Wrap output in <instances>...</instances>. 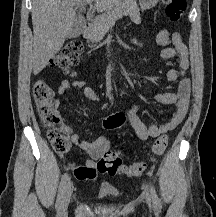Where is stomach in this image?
<instances>
[{"instance_id":"stomach-1","label":"stomach","mask_w":216,"mask_h":217,"mask_svg":"<svg viewBox=\"0 0 216 217\" xmlns=\"http://www.w3.org/2000/svg\"><path fill=\"white\" fill-rule=\"evenodd\" d=\"M160 0H138L142 10H148L157 5Z\"/></svg>"}]
</instances>
